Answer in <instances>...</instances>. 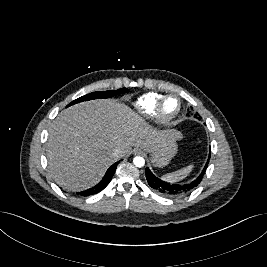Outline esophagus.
Segmentation results:
<instances>
[{
  "mask_svg": "<svg viewBox=\"0 0 267 267\" xmlns=\"http://www.w3.org/2000/svg\"><path fill=\"white\" fill-rule=\"evenodd\" d=\"M140 152V150H136V153H139Z\"/></svg>",
  "mask_w": 267,
  "mask_h": 267,
  "instance_id": "34e87169",
  "label": "esophagus"
}]
</instances>
